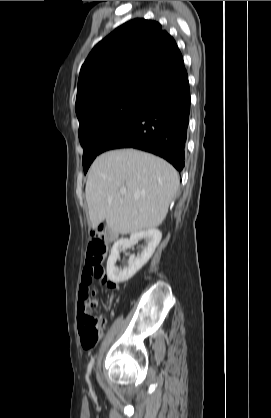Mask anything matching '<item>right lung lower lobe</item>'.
I'll list each match as a JSON object with an SVG mask.
<instances>
[{
  "mask_svg": "<svg viewBox=\"0 0 271 418\" xmlns=\"http://www.w3.org/2000/svg\"><path fill=\"white\" fill-rule=\"evenodd\" d=\"M190 113L186 70L118 127L100 153L117 148L141 149L169 161L178 171L185 165V143Z\"/></svg>",
  "mask_w": 271,
  "mask_h": 418,
  "instance_id": "right-lung-lower-lobe-1",
  "label": "right lung lower lobe"
}]
</instances>
